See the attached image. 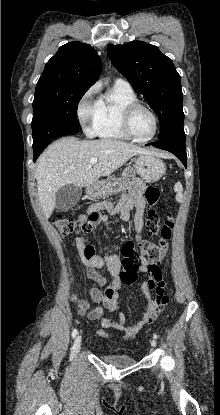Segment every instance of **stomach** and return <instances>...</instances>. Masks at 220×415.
Wrapping results in <instances>:
<instances>
[{"label":"stomach","mask_w":220,"mask_h":415,"mask_svg":"<svg viewBox=\"0 0 220 415\" xmlns=\"http://www.w3.org/2000/svg\"><path fill=\"white\" fill-rule=\"evenodd\" d=\"M134 168L136 173L146 182H155L165 173L164 162L149 154H141L135 158ZM125 179L115 176L108 177L106 180L97 181L86 189V193L91 198H103L121 192L125 187Z\"/></svg>","instance_id":"0dacf381"}]
</instances>
